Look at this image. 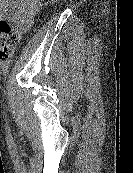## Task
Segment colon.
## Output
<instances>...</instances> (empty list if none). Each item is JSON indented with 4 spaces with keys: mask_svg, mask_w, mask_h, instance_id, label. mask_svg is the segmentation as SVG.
I'll return each mask as SVG.
<instances>
[{
    "mask_svg": "<svg viewBox=\"0 0 133 173\" xmlns=\"http://www.w3.org/2000/svg\"><path fill=\"white\" fill-rule=\"evenodd\" d=\"M55 0H48L53 2ZM17 44V36L12 31L8 22L0 20V59H9Z\"/></svg>",
    "mask_w": 133,
    "mask_h": 173,
    "instance_id": "1",
    "label": "colon"
}]
</instances>
